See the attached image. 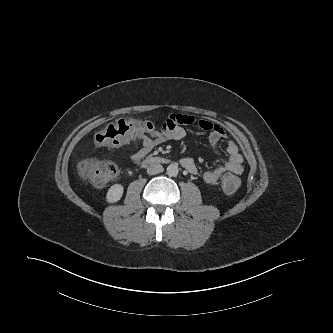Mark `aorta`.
Masks as SVG:
<instances>
[{
    "instance_id": "762f6f07",
    "label": "aorta",
    "mask_w": 333,
    "mask_h": 333,
    "mask_svg": "<svg viewBox=\"0 0 333 333\" xmlns=\"http://www.w3.org/2000/svg\"><path fill=\"white\" fill-rule=\"evenodd\" d=\"M179 173V168H178V165L176 164H170L168 167H167V174L170 176V177H175L177 176Z\"/></svg>"
}]
</instances>
